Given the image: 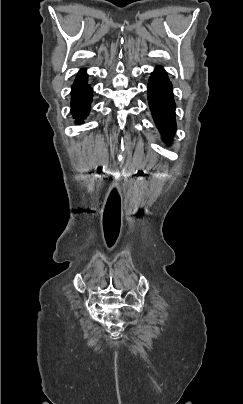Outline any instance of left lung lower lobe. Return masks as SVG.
Here are the masks:
<instances>
[{
  "mask_svg": "<svg viewBox=\"0 0 243 404\" xmlns=\"http://www.w3.org/2000/svg\"><path fill=\"white\" fill-rule=\"evenodd\" d=\"M149 106L163 139L170 142L176 129L172 84L161 66L156 67L148 84Z\"/></svg>",
  "mask_w": 243,
  "mask_h": 404,
  "instance_id": "left-lung-lower-lobe-1",
  "label": "left lung lower lobe"
}]
</instances>
